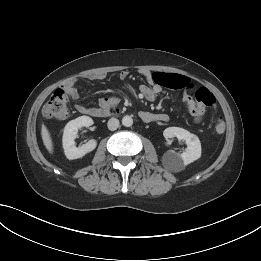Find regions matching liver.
<instances>
[{
	"mask_svg": "<svg viewBox=\"0 0 261 261\" xmlns=\"http://www.w3.org/2000/svg\"><path fill=\"white\" fill-rule=\"evenodd\" d=\"M41 136H42L44 146L46 147L48 152L52 154L53 153L52 138H51V135H50L47 127L44 124H42V127H41Z\"/></svg>",
	"mask_w": 261,
	"mask_h": 261,
	"instance_id": "liver-1",
	"label": "liver"
}]
</instances>
